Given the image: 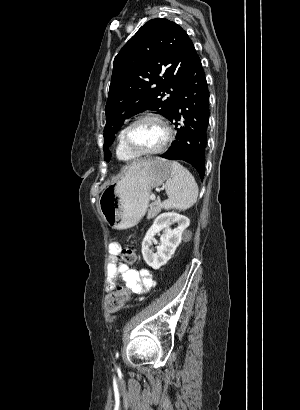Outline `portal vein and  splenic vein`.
Masks as SVG:
<instances>
[{"label": "portal vein and splenic vein", "mask_w": 300, "mask_h": 410, "mask_svg": "<svg viewBox=\"0 0 300 410\" xmlns=\"http://www.w3.org/2000/svg\"><path fill=\"white\" fill-rule=\"evenodd\" d=\"M155 198H156V196H155L154 194H152V195L150 196V199H151V200H155Z\"/></svg>", "instance_id": "obj_1"}]
</instances>
